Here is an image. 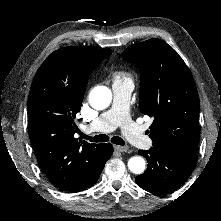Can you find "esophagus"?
Segmentation results:
<instances>
[{
	"label": "esophagus",
	"mask_w": 221,
	"mask_h": 221,
	"mask_svg": "<svg viewBox=\"0 0 221 221\" xmlns=\"http://www.w3.org/2000/svg\"><path fill=\"white\" fill-rule=\"evenodd\" d=\"M114 149L118 152H121V153H125L128 151L129 147L127 145L125 146H118V145H115L114 146Z\"/></svg>",
	"instance_id": "obj_1"
}]
</instances>
